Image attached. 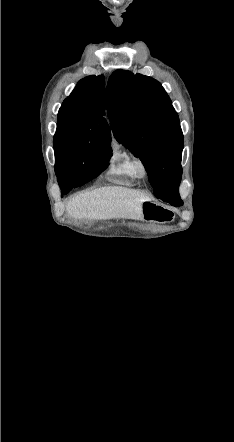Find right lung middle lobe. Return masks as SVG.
Here are the masks:
<instances>
[{
  "label": "right lung middle lobe",
  "mask_w": 234,
  "mask_h": 442,
  "mask_svg": "<svg viewBox=\"0 0 234 442\" xmlns=\"http://www.w3.org/2000/svg\"><path fill=\"white\" fill-rule=\"evenodd\" d=\"M54 151L58 183L70 189L98 176L112 155L110 142L86 140L64 124H57Z\"/></svg>",
  "instance_id": "obj_1"
}]
</instances>
